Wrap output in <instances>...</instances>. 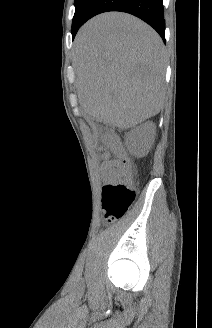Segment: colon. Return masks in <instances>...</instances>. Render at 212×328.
Returning a JSON list of instances; mask_svg holds the SVG:
<instances>
[{
  "mask_svg": "<svg viewBox=\"0 0 212 328\" xmlns=\"http://www.w3.org/2000/svg\"><path fill=\"white\" fill-rule=\"evenodd\" d=\"M104 143L121 159L120 175L123 178L122 181L105 185L102 190L104 219L107 223H112L122 218L135 200V168L115 136L105 135Z\"/></svg>",
  "mask_w": 212,
  "mask_h": 328,
  "instance_id": "5ec220e1",
  "label": "colon"
}]
</instances>
